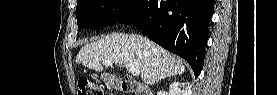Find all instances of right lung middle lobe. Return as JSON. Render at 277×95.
Instances as JSON below:
<instances>
[{
  "mask_svg": "<svg viewBox=\"0 0 277 95\" xmlns=\"http://www.w3.org/2000/svg\"><path fill=\"white\" fill-rule=\"evenodd\" d=\"M139 2L140 0H79L76 7L78 30L115 24Z\"/></svg>",
  "mask_w": 277,
  "mask_h": 95,
  "instance_id": "obj_1",
  "label": "right lung middle lobe"
}]
</instances>
